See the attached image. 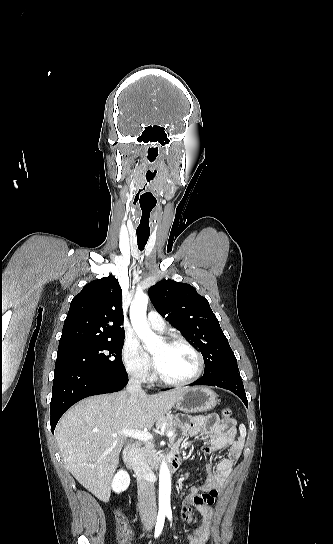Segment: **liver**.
I'll list each match as a JSON object with an SVG mask.
<instances>
[{"label": "liver", "instance_id": "liver-1", "mask_svg": "<svg viewBox=\"0 0 333 544\" xmlns=\"http://www.w3.org/2000/svg\"><path fill=\"white\" fill-rule=\"evenodd\" d=\"M185 390L148 396L118 392L86 398L60 419L55 437L66 468L102 501L110 498V480L126 436L123 429L151 428L171 410Z\"/></svg>", "mask_w": 333, "mask_h": 544}]
</instances>
